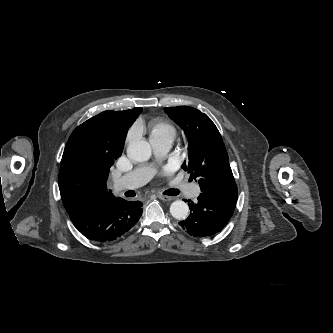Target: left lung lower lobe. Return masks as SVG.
Returning <instances> with one entry per match:
<instances>
[{
    "label": "left lung lower lobe",
    "mask_w": 333,
    "mask_h": 333,
    "mask_svg": "<svg viewBox=\"0 0 333 333\" xmlns=\"http://www.w3.org/2000/svg\"><path fill=\"white\" fill-rule=\"evenodd\" d=\"M237 200H217L200 194L198 202L188 200L192 211L179 225L193 237L211 236L223 229L231 219Z\"/></svg>",
    "instance_id": "1"
}]
</instances>
